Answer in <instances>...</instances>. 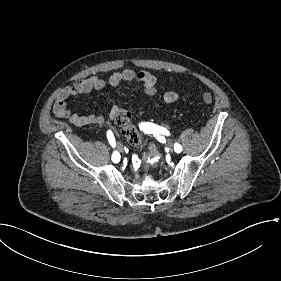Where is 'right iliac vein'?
I'll list each match as a JSON object with an SVG mask.
<instances>
[{
  "label": "right iliac vein",
  "mask_w": 281,
  "mask_h": 281,
  "mask_svg": "<svg viewBox=\"0 0 281 281\" xmlns=\"http://www.w3.org/2000/svg\"><path fill=\"white\" fill-rule=\"evenodd\" d=\"M117 150L119 151V152H123L124 150H123V146L121 145V144H118L117 145Z\"/></svg>",
  "instance_id": "obj_1"
}]
</instances>
